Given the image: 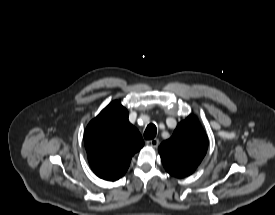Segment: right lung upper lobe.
Here are the masks:
<instances>
[{"label": "right lung upper lobe", "instance_id": "obj_1", "mask_svg": "<svg viewBox=\"0 0 275 215\" xmlns=\"http://www.w3.org/2000/svg\"><path fill=\"white\" fill-rule=\"evenodd\" d=\"M84 143L92 170L108 181L121 178L132 156L144 146L139 131L128 121V111L118 101L88 124Z\"/></svg>", "mask_w": 275, "mask_h": 215}]
</instances>
